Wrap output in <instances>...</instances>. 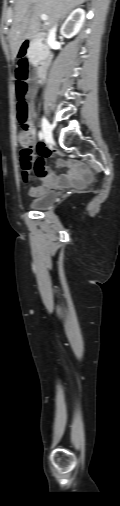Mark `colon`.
Listing matches in <instances>:
<instances>
[{
    "label": "colon",
    "instance_id": "1",
    "mask_svg": "<svg viewBox=\"0 0 120 506\" xmlns=\"http://www.w3.org/2000/svg\"><path fill=\"white\" fill-rule=\"evenodd\" d=\"M13 57L20 63L17 68V83H16V96H17V119L21 126V131L17 134V141L21 145L20 159L27 162L33 154V142L35 137L31 131L32 124L30 122V107L27 100L29 93V84L27 83L29 69L27 63L29 57L20 58L18 56V49L13 52Z\"/></svg>",
    "mask_w": 120,
    "mask_h": 506
}]
</instances>
